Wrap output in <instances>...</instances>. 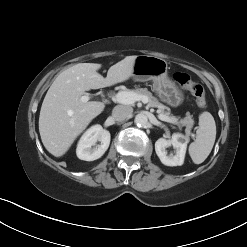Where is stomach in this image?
<instances>
[{"label": "stomach", "mask_w": 247, "mask_h": 247, "mask_svg": "<svg viewBox=\"0 0 247 247\" xmlns=\"http://www.w3.org/2000/svg\"><path fill=\"white\" fill-rule=\"evenodd\" d=\"M132 78L137 82L152 81L153 92L171 107H177L184 101L182 90L168 76V63L163 58L152 55L137 56Z\"/></svg>", "instance_id": "obj_1"}]
</instances>
